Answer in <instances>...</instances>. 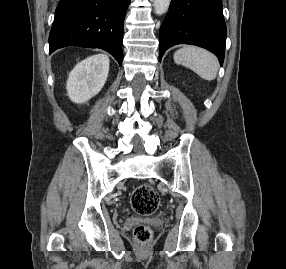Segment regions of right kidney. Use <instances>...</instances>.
Listing matches in <instances>:
<instances>
[{
  "mask_svg": "<svg viewBox=\"0 0 286 269\" xmlns=\"http://www.w3.org/2000/svg\"><path fill=\"white\" fill-rule=\"evenodd\" d=\"M109 58L104 54L88 57L70 72L66 89L71 101L85 103L103 88L109 73Z\"/></svg>",
  "mask_w": 286,
  "mask_h": 269,
  "instance_id": "ca27d5eb",
  "label": "right kidney"
}]
</instances>
